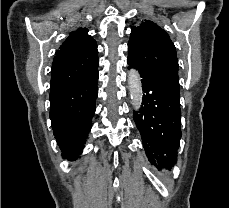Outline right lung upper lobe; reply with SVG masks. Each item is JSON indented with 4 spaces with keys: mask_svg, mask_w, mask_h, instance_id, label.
Listing matches in <instances>:
<instances>
[{
    "mask_svg": "<svg viewBox=\"0 0 229 208\" xmlns=\"http://www.w3.org/2000/svg\"><path fill=\"white\" fill-rule=\"evenodd\" d=\"M87 32L86 28L71 32L56 52L50 93L89 76L98 66L97 45Z\"/></svg>",
    "mask_w": 229,
    "mask_h": 208,
    "instance_id": "cb5924a9",
    "label": "right lung upper lobe"
}]
</instances>
